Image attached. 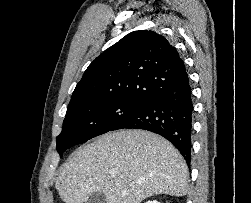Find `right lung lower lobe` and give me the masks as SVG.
I'll use <instances>...</instances> for the list:
<instances>
[{
  "label": "right lung lower lobe",
  "mask_w": 251,
  "mask_h": 203,
  "mask_svg": "<svg viewBox=\"0 0 251 203\" xmlns=\"http://www.w3.org/2000/svg\"><path fill=\"white\" fill-rule=\"evenodd\" d=\"M193 120L192 92L188 75L178 84L163 90L137 111L115 125L118 129H143L168 139L190 164Z\"/></svg>",
  "instance_id": "1"
}]
</instances>
